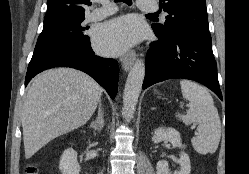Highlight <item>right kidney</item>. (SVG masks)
Wrapping results in <instances>:
<instances>
[{
	"label": "right kidney",
	"instance_id": "obj_1",
	"mask_svg": "<svg viewBox=\"0 0 249 174\" xmlns=\"http://www.w3.org/2000/svg\"><path fill=\"white\" fill-rule=\"evenodd\" d=\"M59 170L62 174H79L80 166L77 161V152L69 148L63 152L60 158Z\"/></svg>",
	"mask_w": 249,
	"mask_h": 174
}]
</instances>
